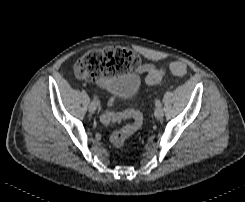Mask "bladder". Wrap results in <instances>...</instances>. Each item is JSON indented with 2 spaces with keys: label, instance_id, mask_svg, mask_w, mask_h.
<instances>
[{
  "label": "bladder",
  "instance_id": "obj_1",
  "mask_svg": "<svg viewBox=\"0 0 245 202\" xmlns=\"http://www.w3.org/2000/svg\"><path fill=\"white\" fill-rule=\"evenodd\" d=\"M137 87L138 78L135 75H122L113 82L110 92L118 100H125L135 93Z\"/></svg>",
  "mask_w": 245,
  "mask_h": 202
}]
</instances>
